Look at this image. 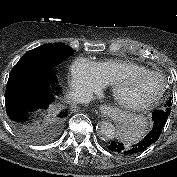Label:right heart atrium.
Wrapping results in <instances>:
<instances>
[{"mask_svg": "<svg viewBox=\"0 0 177 177\" xmlns=\"http://www.w3.org/2000/svg\"><path fill=\"white\" fill-rule=\"evenodd\" d=\"M70 81L74 89L94 93L104 87V82L94 63L85 58H76L70 66Z\"/></svg>", "mask_w": 177, "mask_h": 177, "instance_id": "d8ad5b80", "label": "right heart atrium"}]
</instances>
